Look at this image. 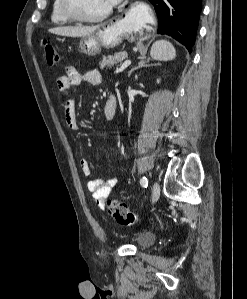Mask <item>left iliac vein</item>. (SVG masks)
<instances>
[{
  "mask_svg": "<svg viewBox=\"0 0 247 299\" xmlns=\"http://www.w3.org/2000/svg\"><path fill=\"white\" fill-rule=\"evenodd\" d=\"M160 196V186L157 182H154L152 186V203H155Z\"/></svg>",
  "mask_w": 247,
  "mask_h": 299,
  "instance_id": "4c4485c4",
  "label": "left iliac vein"
}]
</instances>
